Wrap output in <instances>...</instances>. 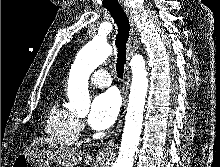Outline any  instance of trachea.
<instances>
[{"mask_svg":"<svg viewBox=\"0 0 220 167\" xmlns=\"http://www.w3.org/2000/svg\"><path fill=\"white\" fill-rule=\"evenodd\" d=\"M106 9L110 12L115 23L118 26L115 46L117 49L116 71L118 78H123L124 66L126 64V44L129 38L130 23L128 17L120 5L108 6Z\"/></svg>","mask_w":220,"mask_h":167,"instance_id":"obj_1","label":"trachea"}]
</instances>
